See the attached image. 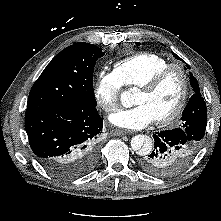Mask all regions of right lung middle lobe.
<instances>
[{
    "label": "right lung middle lobe",
    "instance_id": "dd1d6c3e",
    "mask_svg": "<svg viewBox=\"0 0 221 221\" xmlns=\"http://www.w3.org/2000/svg\"><path fill=\"white\" fill-rule=\"evenodd\" d=\"M103 55L101 48L85 42L62 50L32 86L27 107H95L93 71Z\"/></svg>",
    "mask_w": 221,
    "mask_h": 221
}]
</instances>
